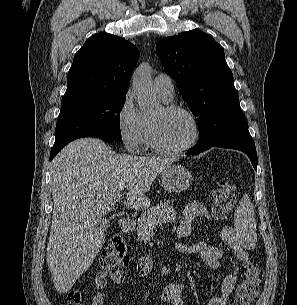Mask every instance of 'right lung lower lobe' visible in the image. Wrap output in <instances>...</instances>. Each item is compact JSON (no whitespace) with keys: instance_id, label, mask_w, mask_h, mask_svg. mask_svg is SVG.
<instances>
[{"instance_id":"obj_1","label":"right lung lower lobe","mask_w":297,"mask_h":305,"mask_svg":"<svg viewBox=\"0 0 297 305\" xmlns=\"http://www.w3.org/2000/svg\"><path fill=\"white\" fill-rule=\"evenodd\" d=\"M105 141H109V142H117L113 139L110 138H101ZM62 148H52L51 153H50V161L56 156V154L61 150Z\"/></svg>"}]
</instances>
